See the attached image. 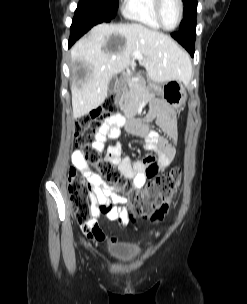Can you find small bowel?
Listing matches in <instances>:
<instances>
[{
	"instance_id": "1",
	"label": "small bowel",
	"mask_w": 247,
	"mask_h": 304,
	"mask_svg": "<svg viewBox=\"0 0 247 304\" xmlns=\"http://www.w3.org/2000/svg\"><path fill=\"white\" fill-rule=\"evenodd\" d=\"M149 115L156 118L157 124L165 136L148 130L146 126L138 122H131L126 125L123 116L114 115L104 121L94 136L92 143L98 152H102L105 149L106 141L117 138L120 134V129L125 125L130 133L143 137L145 149L155 152L157 158L147 157L142 160L133 161L129 157L121 156L119 145L109 146L107 148V155L104 156L105 162H111V165L117 166L120 173L130 180L129 187L133 190L142 189L148 179L172 163L176 154L178 134L173 109L157 101L152 105ZM151 158L154 159V167L152 166ZM71 161L73 166L89 182L92 188V201L94 205L92 221L87 225H81V230L89 239L103 241L106 239V236L98 226L96 219L100 215H104L106 219L123 225L127 219V213L123 207L127 199L125 196L113 192L101 177L89 168L80 150H75L72 153Z\"/></svg>"
}]
</instances>
